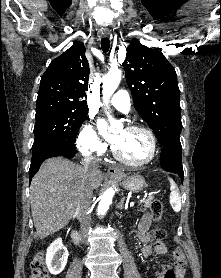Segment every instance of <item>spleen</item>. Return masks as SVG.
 I'll list each match as a JSON object with an SVG mask.
<instances>
[{
    "label": "spleen",
    "mask_w": 221,
    "mask_h": 278,
    "mask_svg": "<svg viewBox=\"0 0 221 278\" xmlns=\"http://www.w3.org/2000/svg\"><path fill=\"white\" fill-rule=\"evenodd\" d=\"M170 182V204L175 212H179L181 210V196L179 193V189L177 188L176 183L172 180L169 179Z\"/></svg>",
    "instance_id": "3e777b00"
}]
</instances>
